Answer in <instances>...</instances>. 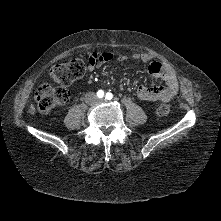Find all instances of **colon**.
<instances>
[{"label": "colon", "instance_id": "1", "mask_svg": "<svg viewBox=\"0 0 221 221\" xmlns=\"http://www.w3.org/2000/svg\"><path fill=\"white\" fill-rule=\"evenodd\" d=\"M87 68L85 62L81 59H73L67 63L54 66L50 74L60 86L54 87L44 84L36 90L34 99L38 110L41 113H47L53 108L65 104L70 97V93L65 86L82 78ZM156 113L161 117L167 116L170 113V106L161 104L157 107Z\"/></svg>", "mask_w": 221, "mask_h": 221}]
</instances>
